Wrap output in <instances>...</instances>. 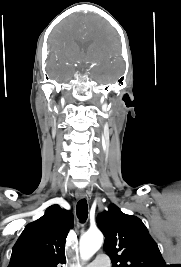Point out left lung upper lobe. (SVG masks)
<instances>
[{
  "label": "left lung upper lobe",
  "mask_w": 181,
  "mask_h": 267,
  "mask_svg": "<svg viewBox=\"0 0 181 267\" xmlns=\"http://www.w3.org/2000/svg\"><path fill=\"white\" fill-rule=\"evenodd\" d=\"M97 225L105 236L104 249L113 267H166L156 242L136 216L111 204L97 217Z\"/></svg>",
  "instance_id": "left-lung-upper-lobe-1"
}]
</instances>
